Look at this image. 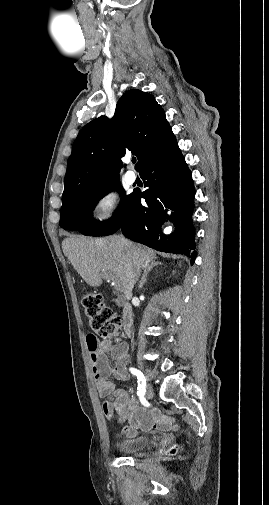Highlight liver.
<instances>
[{
    "label": "liver",
    "mask_w": 269,
    "mask_h": 505,
    "mask_svg": "<svg viewBox=\"0 0 269 505\" xmlns=\"http://www.w3.org/2000/svg\"><path fill=\"white\" fill-rule=\"evenodd\" d=\"M62 249L87 284L100 286L103 276H112L126 300L133 295L137 265L146 268L156 258L154 250L119 235L99 239L73 236L63 240Z\"/></svg>",
    "instance_id": "1"
}]
</instances>
